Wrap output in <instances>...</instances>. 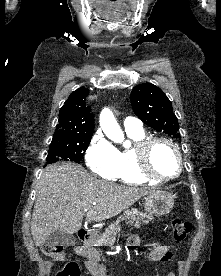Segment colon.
I'll return each instance as SVG.
<instances>
[{
    "label": "colon",
    "instance_id": "colon-1",
    "mask_svg": "<svg viewBox=\"0 0 221 276\" xmlns=\"http://www.w3.org/2000/svg\"><path fill=\"white\" fill-rule=\"evenodd\" d=\"M171 228L174 240L183 241L190 233L192 226L187 221L173 219L171 222ZM42 252L55 260H62L64 258L63 246L44 245L42 247ZM56 276H80L79 266L74 262L68 263L56 274Z\"/></svg>",
    "mask_w": 221,
    "mask_h": 276
}]
</instances>
